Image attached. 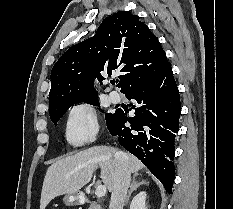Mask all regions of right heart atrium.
I'll return each mask as SVG.
<instances>
[{
  "label": "right heart atrium",
  "mask_w": 233,
  "mask_h": 209,
  "mask_svg": "<svg viewBox=\"0 0 233 209\" xmlns=\"http://www.w3.org/2000/svg\"><path fill=\"white\" fill-rule=\"evenodd\" d=\"M98 129L97 114L90 104L80 103L69 110L65 137L71 146L78 147L92 142Z\"/></svg>",
  "instance_id": "1"
}]
</instances>
